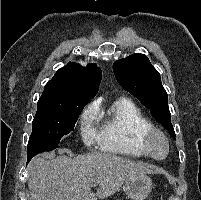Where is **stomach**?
<instances>
[{
  "mask_svg": "<svg viewBox=\"0 0 201 200\" xmlns=\"http://www.w3.org/2000/svg\"><path fill=\"white\" fill-rule=\"evenodd\" d=\"M123 190L132 200H144L152 190V180L146 174L131 177L124 182Z\"/></svg>",
  "mask_w": 201,
  "mask_h": 200,
  "instance_id": "0dacf381",
  "label": "stomach"
}]
</instances>
